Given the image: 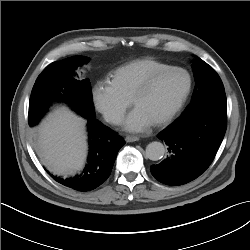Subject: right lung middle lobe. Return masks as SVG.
<instances>
[{
  "instance_id": "right-lung-middle-lobe-1",
  "label": "right lung middle lobe",
  "mask_w": 250,
  "mask_h": 250,
  "mask_svg": "<svg viewBox=\"0 0 250 250\" xmlns=\"http://www.w3.org/2000/svg\"><path fill=\"white\" fill-rule=\"evenodd\" d=\"M89 60L73 56L49 65L37 78L29 101L28 123L34 126L48 111L52 101H65L83 117H95L89 80L73 77L75 69Z\"/></svg>"
}]
</instances>
